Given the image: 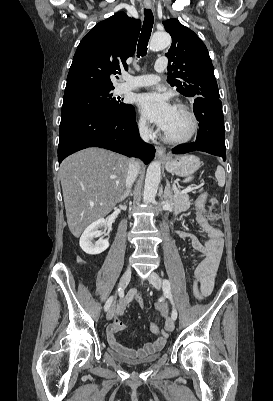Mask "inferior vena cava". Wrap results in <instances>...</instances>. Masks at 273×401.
Returning <instances> with one entry per match:
<instances>
[{
	"mask_svg": "<svg viewBox=\"0 0 273 401\" xmlns=\"http://www.w3.org/2000/svg\"><path fill=\"white\" fill-rule=\"evenodd\" d=\"M139 130H140L141 138H143V140H146V142H148L149 136L151 134L149 128H147V126H145V124H141ZM138 166H139L138 162H134V164H133V162H130L128 172H127V178H126L127 188H131V186L138 174V170H139Z\"/></svg>",
	"mask_w": 273,
	"mask_h": 401,
	"instance_id": "602c4592",
	"label": "inferior vena cava"
}]
</instances>
